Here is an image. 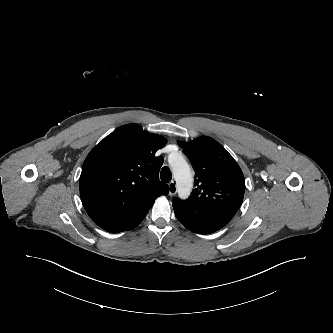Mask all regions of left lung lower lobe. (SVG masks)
Returning a JSON list of instances; mask_svg holds the SVG:
<instances>
[{"label":"left lung lower lobe","instance_id":"obj_1","mask_svg":"<svg viewBox=\"0 0 333 333\" xmlns=\"http://www.w3.org/2000/svg\"><path fill=\"white\" fill-rule=\"evenodd\" d=\"M236 199H222L202 204H190L182 200L173 202L177 219L189 230L209 234L221 229L240 207Z\"/></svg>","mask_w":333,"mask_h":333}]
</instances>
